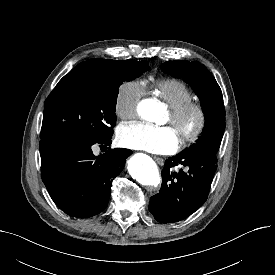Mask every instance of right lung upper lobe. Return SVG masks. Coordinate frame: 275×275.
<instances>
[{
  "mask_svg": "<svg viewBox=\"0 0 275 275\" xmlns=\"http://www.w3.org/2000/svg\"><path fill=\"white\" fill-rule=\"evenodd\" d=\"M115 62L116 60L109 59H89L78 64L68 74H75L88 70L107 71L114 65Z\"/></svg>",
  "mask_w": 275,
  "mask_h": 275,
  "instance_id": "right-lung-upper-lobe-1",
  "label": "right lung upper lobe"
}]
</instances>
